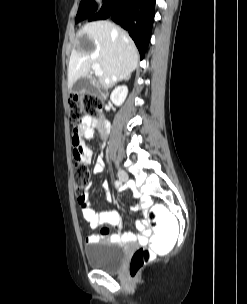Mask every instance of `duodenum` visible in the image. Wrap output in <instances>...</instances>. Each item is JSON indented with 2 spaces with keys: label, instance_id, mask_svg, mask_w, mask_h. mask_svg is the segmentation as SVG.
Returning a JSON list of instances; mask_svg holds the SVG:
<instances>
[{
  "label": "duodenum",
  "instance_id": "410a0bca",
  "mask_svg": "<svg viewBox=\"0 0 247 304\" xmlns=\"http://www.w3.org/2000/svg\"><path fill=\"white\" fill-rule=\"evenodd\" d=\"M100 119L101 120H104L105 119V116L104 115H101L100 116ZM99 122H101V121H99ZM103 122V121H102ZM98 125V124H97ZM104 125V124H103ZM99 128V127H98ZM100 128H103V127H100ZM97 131H99V130H97ZM100 131H102V130H100ZM104 131V130H103ZM101 134H103V136H101V137H103L104 139L105 138H107V135H108V132L107 131H104L103 133H101ZM102 140V139H101Z\"/></svg>",
  "mask_w": 247,
  "mask_h": 304
}]
</instances>
